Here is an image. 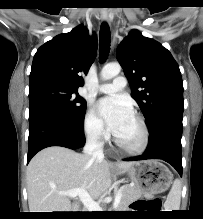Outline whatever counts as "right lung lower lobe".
<instances>
[{"instance_id":"1","label":"right lung lower lobe","mask_w":203,"mask_h":219,"mask_svg":"<svg viewBox=\"0 0 203 219\" xmlns=\"http://www.w3.org/2000/svg\"><path fill=\"white\" fill-rule=\"evenodd\" d=\"M83 119L71 121L43 109L29 110L27 163L46 147L62 146L69 149L82 147L85 143Z\"/></svg>"}]
</instances>
